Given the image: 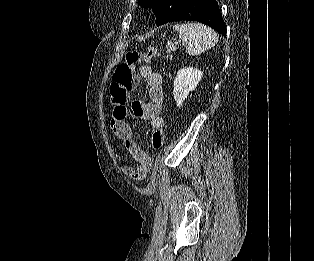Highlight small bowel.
<instances>
[{"mask_svg":"<svg viewBox=\"0 0 314 261\" xmlns=\"http://www.w3.org/2000/svg\"><path fill=\"white\" fill-rule=\"evenodd\" d=\"M139 77L148 84V101L136 99L129 109L126 105H113L110 127L114 135L121 141L123 148L136 162L135 165L125 162L123 155L119 159L123 162L121 170L124 175L135 182L143 181L153 166V158L139 145L131 125L128 122L132 115L136 118L148 120L156 129L163 127L164 120L160 113L164 103L162 76L154 72L149 66H141Z\"/></svg>","mask_w":314,"mask_h":261,"instance_id":"small-bowel-1","label":"small bowel"}]
</instances>
